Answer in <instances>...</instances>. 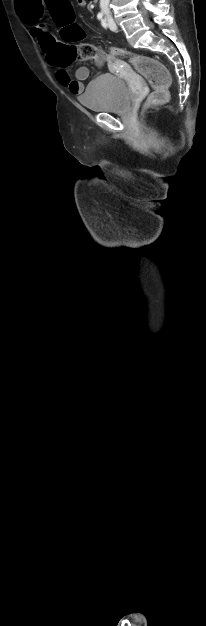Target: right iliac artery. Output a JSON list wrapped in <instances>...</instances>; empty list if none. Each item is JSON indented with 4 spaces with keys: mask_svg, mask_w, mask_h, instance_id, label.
<instances>
[{
    "mask_svg": "<svg viewBox=\"0 0 206 626\" xmlns=\"http://www.w3.org/2000/svg\"><path fill=\"white\" fill-rule=\"evenodd\" d=\"M102 17H103V14L102 13H98L97 18L100 20V19H102Z\"/></svg>",
    "mask_w": 206,
    "mask_h": 626,
    "instance_id": "82829eb1",
    "label": "right iliac artery"
}]
</instances>
